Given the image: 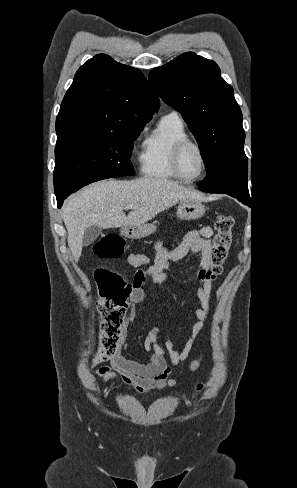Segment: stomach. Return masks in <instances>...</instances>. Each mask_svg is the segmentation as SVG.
Returning <instances> with one entry per match:
<instances>
[{
	"label": "stomach",
	"instance_id": "obj_1",
	"mask_svg": "<svg viewBox=\"0 0 297 488\" xmlns=\"http://www.w3.org/2000/svg\"><path fill=\"white\" fill-rule=\"evenodd\" d=\"M206 211L205 206L199 200H186L179 203L177 207V218L181 220H196L201 218ZM157 229L155 224H141L139 226L123 227L121 234L126 238H144L154 233Z\"/></svg>",
	"mask_w": 297,
	"mask_h": 488
}]
</instances>
